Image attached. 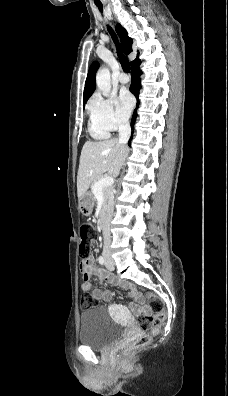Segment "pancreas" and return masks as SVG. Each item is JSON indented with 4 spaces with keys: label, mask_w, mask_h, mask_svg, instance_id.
<instances>
[{
    "label": "pancreas",
    "mask_w": 228,
    "mask_h": 396,
    "mask_svg": "<svg viewBox=\"0 0 228 396\" xmlns=\"http://www.w3.org/2000/svg\"><path fill=\"white\" fill-rule=\"evenodd\" d=\"M100 179H97V180H95L93 183H92V185H91V190H92V192H93V194H95L94 193V187H95V184L99 181ZM102 194H103V197H104V204H103V206H102V211H101V213L105 210V208H106V203H107V200H108V198H109V196H110V194H111V187H104L103 189H102Z\"/></svg>",
    "instance_id": "1"
}]
</instances>
